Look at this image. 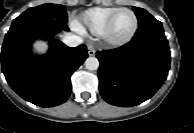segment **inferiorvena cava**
I'll list each match as a JSON object with an SVG mask.
<instances>
[{
    "label": "inferior vena cava",
    "mask_w": 194,
    "mask_h": 133,
    "mask_svg": "<svg viewBox=\"0 0 194 133\" xmlns=\"http://www.w3.org/2000/svg\"><path fill=\"white\" fill-rule=\"evenodd\" d=\"M63 42L69 47H76L83 42V39L79 36L69 34L63 37Z\"/></svg>",
    "instance_id": "602c4592"
}]
</instances>
